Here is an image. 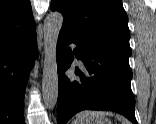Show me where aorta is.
Listing matches in <instances>:
<instances>
[{
	"mask_svg": "<svg viewBox=\"0 0 156 124\" xmlns=\"http://www.w3.org/2000/svg\"><path fill=\"white\" fill-rule=\"evenodd\" d=\"M62 24L63 15L59 12H52L45 18L43 26L44 61L42 95L44 105L48 109H53L58 99L56 47Z\"/></svg>",
	"mask_w": 156,
	"mask_h": 124,
	"instance_id": "obj_1",
	"label": "aorta"
}]
</instances>
